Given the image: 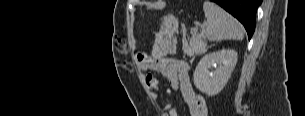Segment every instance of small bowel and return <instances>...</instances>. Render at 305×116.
I'll return each instance as SVG.
<instances>
[{
  "mask_svg": "<svg viewBox=\"0 0 305 116\" xmlns=\"http://www.w3.org/2000/svg\"><path fill=\"white\" fill-rule=\"evenodd\" d=\"M168 50L169 45L165 41L157 40L150 54L136 55L138 66L144 71L160 73L173 90H180L190 116H207L206 101L195 91L191 83L189 64L183 60L168 57ZM145 80L149 90L159 89L160 82L156 77L147 74ZM164 110L163 116H178L171 103H166Z\"/></svg>",
  "mask_w": 305,
  "mask_h": 116,
  "instance_id": "obj_1",
  "label": "small bowel"
}]
</instances>
